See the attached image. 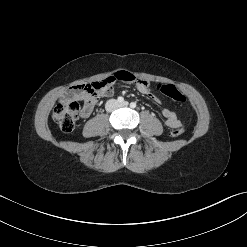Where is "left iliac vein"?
I'll return each instance as SVG.
<instances>
[{
	"instance_id": "obj_1",
	"label": "left iliac vein",
	"mask_w": 247,
	"mask_h": 247,
	"mask_svg": "<svg viewBox=\"0 0 247 247\" xmlns=\"http://www.w3.org/2000/svg\"><path fill=\"white\" fill-rule=\"evenodd\" d=\"M120 106L126 107V106H128V102L125 101V102L121 103Z\"/></svg>"
}]
</instances>
